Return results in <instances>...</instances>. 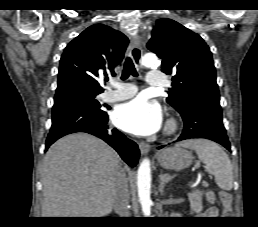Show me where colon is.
<instances>
[{
	"label": "colon",
	"mask_w": 258,
	"mask_h": 227,
	"mask_svg": "<svg viewBox=\"0 0 258 227\" xmlns=\"http://www.w3.org/2000/svg\"><path fill=\"white\" fill-rule=\"evenodd\" d=\"M220 198L222 202V215L225 218H231L232 216V196L229 192L221 191Z\"/></svg>",
	"instance_id": "1"
}]
</instances>
